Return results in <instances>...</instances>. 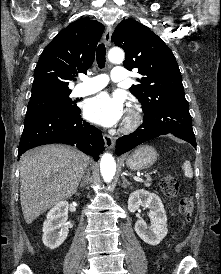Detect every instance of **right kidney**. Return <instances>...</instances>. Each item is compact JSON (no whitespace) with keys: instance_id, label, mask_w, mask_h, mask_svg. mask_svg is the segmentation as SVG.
Listing matches in <instances>:
<instances>
[{"instance_id":"ca27d5eb","label":"right kidney","mask_w":221,"mask_h":274,"mask_svg":"<svg viewBox=\"0 0 221 274\" xmlns=\"http://www.w3.org/2000/svg\"><path fill=\"white\" fill-rule=\"evenodd\" d=\"M68 208L67 201L57 203L48 212L43 223L42 241L51 250L58 248L67 238L69 232L67 223Z\"/></svg>"}]
</instances>
